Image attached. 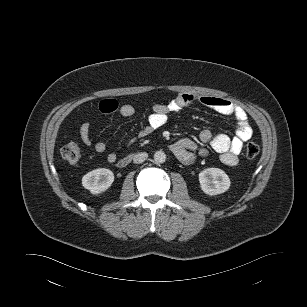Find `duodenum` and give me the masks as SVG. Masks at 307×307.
I'll use <instances>...</instances> for the list:
<instances>
[{"label": "duodenum", "instance_id": "duodenum-1", "mask_svg": "<svg viewBox=\"0 0 307 307\" xmlns=\"http://www.w3.org/2000/svg\"><path fill=\"white\" fill-rule=\"evenodd\" d=\"M131 160V155H127L125 157H123L120 161H119V166L124 167L126 166Z\"/></svg>", "mask_w": 307, "mask_h": 307}]
</instances>
